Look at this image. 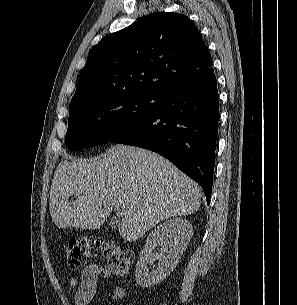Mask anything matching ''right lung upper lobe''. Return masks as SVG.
I'll use <instances>...</instances> for the list:
<instances>
[{"label": "right lung upper lobe", "mask_w": 297, "mask_h": 305, "mask_svg": "<svg viewBox=\"0 0 297 305\" xmlns=\"http://www.w3.org/2000/svg\"><path fill=\"white\" fill-rule=\"evenodd\" d=\"M198 29L184 15L161 12L103 38L89 52L69 111L126 92H162L213 74Z\"/></svg>", "instance_id": "1"}]
</instances>
